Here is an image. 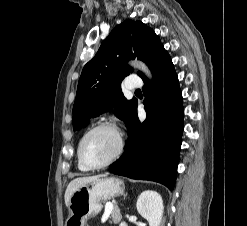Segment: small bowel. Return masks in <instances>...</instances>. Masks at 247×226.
<instances>
[{
  "instance_id": "c3829d8e",
  "label": "small bowel",
  "mask_w": 247,
  "mask_h": 226,
  "mask_svg": "<svg viewBox=\"0 0 247 226\" xmlns=\"http://www.w3.org/2000/svg\"><path fill=\"white\" fill-rule=\"evenodd\" d=\"M120 226H126V225H124V224H121Z\"/></svg>"
}]
</instances>
